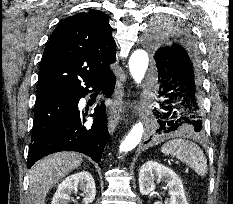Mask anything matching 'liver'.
Listing matches in <instances>:
<instances>
[{
    "instance_id": "1",
    "label": "liver",
    "mask_w": 233,
    "mask_h": 204,
    "mask_svg": "<svg viewBox=\"0 0 233 204\" xmlns=\"http://www.w3.org/2000/svg\"><path fill=\"white\" fill-rule=\"evenodd\" d=\"M82 163L74 152H58L36 162L29 172V189L33 204H45L49 190Z\"/></svg>"
}]
</instances>
